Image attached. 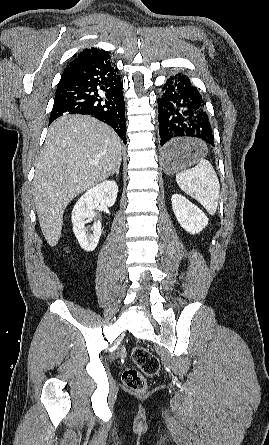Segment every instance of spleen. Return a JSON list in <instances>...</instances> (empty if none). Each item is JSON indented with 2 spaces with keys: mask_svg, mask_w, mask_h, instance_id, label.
I'll use <instances>...</instances> for the list:
<instances>
[{
  "mask_svg": "<svg viewBox=\"0 0 269 445\" xmlns=\"http://www.w3.org/2000/svg\"><path fill=\"white\" fill-rule=\"evenodd\" d=\"M179 187L213 215L219 201L220 184L211 163L201 158L191 169L179 171L176 175Z\"/></svg>",
  "mask_w": 269,
  "mask_h": 445,
  "instance_id": "3e777b00",
  "label": "spleen"
}]
</instances>
